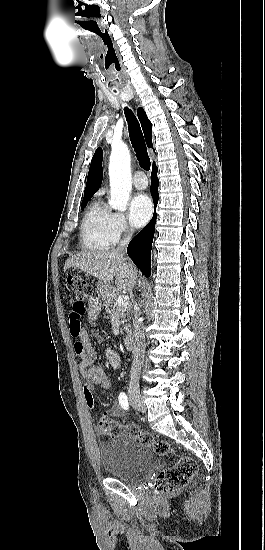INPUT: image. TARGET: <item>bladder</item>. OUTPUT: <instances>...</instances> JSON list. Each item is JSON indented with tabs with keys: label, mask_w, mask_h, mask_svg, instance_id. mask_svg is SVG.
I'll return each instance as SVG.
<instances>
[{
	"label": "bladder",
	"mask_w": 265,
	"mask_h": 550,
	"mask_svg": "<svg viewBox=\"0 0 265 550\" xmlns=\"http://www.w3.org/2000/svg\"><path fill=\"white\" fill-rule=\"evenodd\" d=\"M103 470L122 481H143L158 466V454L133 437H113L99 448Z\"/></svg>",
	"instance_id": "bladder-1"
}]
</instances>
